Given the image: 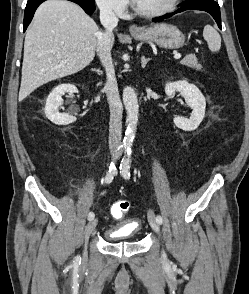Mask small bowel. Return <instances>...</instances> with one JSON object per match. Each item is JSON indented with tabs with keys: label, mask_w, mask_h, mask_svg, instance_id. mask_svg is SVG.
Masks as SVG:
<instances>
[{
	"label": "small bowel",
	"mask_w": 249,
	"mask_h": 294,
	"mask_svg": "<svg viewBox=\"0 0 249 294\" xmlns=\"http://www.w3.org/2000/svg\"><path fill=\"white\" fill-rule=\"evenodd\" d=\"M107 194V191L104 190L101 192L100 197H104ZM111 213H112V208H111ZM113 215V214H112ZM115 217V216H114ZM116 218V217H115Z\"/></svg>",
	"instance_id": "obj_1"
}]
</instances>
